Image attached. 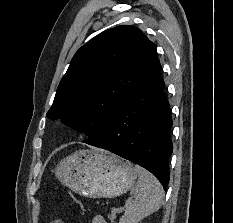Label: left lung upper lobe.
Masks as SVG:
<instances>
[{
    "label": "left lung upper lobe",
    "instance_id": "5c2ea615",
    "mask_svg": "<svg viewBox=\"0 0 233 223\" xmlns=\"http://www.w3.org/2000/svg\"><path fill=\"white\" fill-rule=\"evenodd\" d=\"M156 49L132 26L100 33L74 55L47 117L63 118L89 142L140 85L157 59Z\"/></svg>",
    "mask_w": 233,
    "mask_h": 223
}]
</instances>
